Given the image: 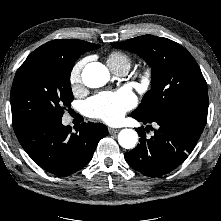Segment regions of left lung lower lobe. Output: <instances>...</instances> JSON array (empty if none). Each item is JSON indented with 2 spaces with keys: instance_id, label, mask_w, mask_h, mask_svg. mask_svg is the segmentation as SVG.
Masks as SVG:
<instances>
[{
  "instance_id": "1",
  "label": "left lung lower lobe",
  "mask_w": 221,
  "mask_h": 221,
  "mask_svg": "<svg viewBox=\"0 0 221 221\" xmlns=\"http://www.w3.org/2000/svg\"><path fill=\"white\" fill-rule=\"evenodd\" d=\"M139 122L157 123L150 138L138 128L139 144L125 153L127 163L149 177L165 175L186 160L206 125L207 114L195 109H183L152 118L131 114Z\"/></svg>"
}]
</instances>
